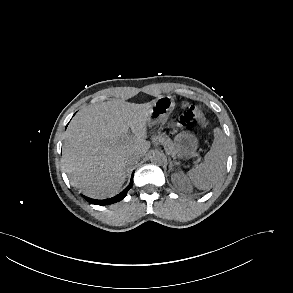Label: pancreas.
Returning a JSON list of instances; mask_svg holds the SVG:
<instances>
[{
  "instance_id": "obj_1",
  "label": "pancreas",
  "mask_w": 293,
  "mask_h": 293,
  "mask_svg": "<svg viewBox=\"0 0 293 293\" xmlns=\"http://www.w3.org/2000/svg\"><path fill=\"white\" fill-rule=\"evenodd\" d=\"M155 140L159 141L170 153H176L175 146L171 139L166 135L162 134L155 138Z\"/></svg>"
}]
</instances>
